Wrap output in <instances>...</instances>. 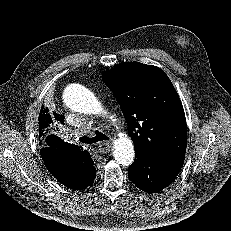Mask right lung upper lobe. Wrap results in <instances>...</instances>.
<instances>
[{
	"label": "right lung upper lobe",
	"instance_id": "cb5924a9",
	"mask_svg": "<svg viewBox=\"0 0 231 231\" xmlns=\"http://www.w3.org/2000/svg\"><path fill=\"white\" fill-rule=\"evenodd\" d=\"M63 121V116L53 117L48 108L42 106L39 114V135L42 138L40 153L45 166L60 183L68 188L80 190L84 188L88 174L89 163L86 162V158L89 152L64 142L51 133L55 125L63 124Z\"/></svg>",
	"mask_w": 231,
	"mask_h": 231
}]
</instances>
